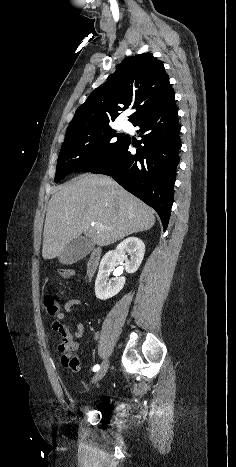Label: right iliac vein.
<instances>
[{
    "label": "right iliac vein",
    "instance_id": "obj_1",
    "mask_svg": "<svg viewBox=\"0 0 236 467\" xmlns=\"http://www.w3.org/2000/svg\"><path fill=\"white\" fill-rule=\"evenodd\" d=\"M108 368H109V363H108V361H105L101 365L100 369L95 373L92 382L97 383L98 381H100L105 376V374L107 373Z\"/></svg>",
    "mask_w": 236,
    "mask_h": 467
}]
</instances>
